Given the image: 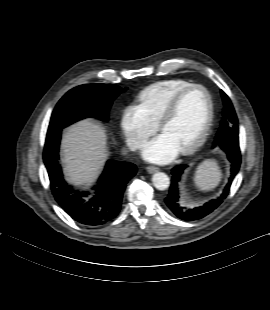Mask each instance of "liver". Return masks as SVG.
<instances>
[{
	"mask_svg": "<svg viewBox=\"0 0 270 310\" xmlns=\"http://www.w3.org/2000/svg\"><path fill=\"white\" fill-rule=\"evenodd\" d=\"M61 155L67 180L76 186H90L108 157L104 128L91 119L69 126L62 137Z\"/></svg>",
	"mask_w": 270,
	"mask_h": 310,
	"instance_id": "obj_1",
	"label": "liver"
}]
</instances>
